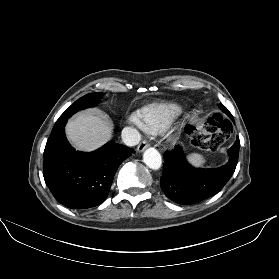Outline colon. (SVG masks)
I'll return each mask as SVG.
<instances>
[{"mask_svg":"<svg viewBox=\"0 0 279 279\" xmlns=\"http://www.w3.org/2000/svg\"><path fill=\"white\" fill-rule=\"evenodd\" d=\"M232 131L231 124L219 114H213L198 123L191 135L192 144L204 150H216L226 142Z\"/></svg>","mask_w":279,"mask_h":279,"instance_id":"obj_1","label":"colon"}]
</instances>
